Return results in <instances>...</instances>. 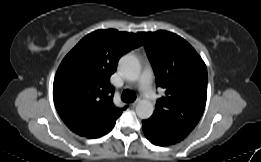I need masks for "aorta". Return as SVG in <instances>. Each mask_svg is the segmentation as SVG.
I'll return each instance as SVG.
<instances>
[{"label": "aorta", "mask_w": 261, "mask_h": 162, "mask_svg": "<svg viewBox=\"0 0 261 162\" xmlns=\"http://www.w3.org/2000/svg\"><path fill=\"white\" fill-rule=\"evenodd\" d=\"M119 70L126 79L136 81L140 76L141 66L137 57L127 54L119 60ZM153 111V104L146 100L140 101L136 106V114L141 119L150 118Z\"/></svg>", "instance_id": "aorta-1"}]
</instances>
